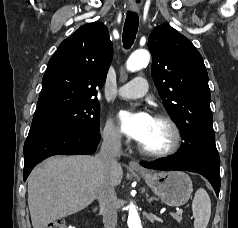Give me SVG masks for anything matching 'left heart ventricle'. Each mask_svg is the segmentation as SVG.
<instances>
[{
	"label": "left heart ventricle",
	"instance_id": "obj_1",
	"mask_svg": "<svg viewBox=\"0 0 238 228\" xmlns=\"http://www.w3.org/2000/svg\"><path fill=\"white\" fill-rule=\"evenodd\" d=\"M172 141V134L169 126L160 120L153 119L146 136L140 144L146 149L159 151L166 149Z\"/></svg>",
	"mask_w": 238,
	"mask_h": 228
}]
</instances>
